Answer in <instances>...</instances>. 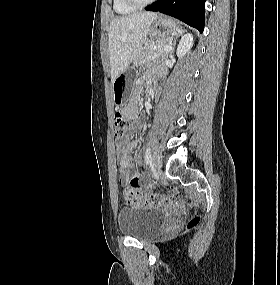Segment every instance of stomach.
Returning <instances> with one entry per match:
<instances>
[{
  "instance_id": "stomach-1",
  "label": "stomach",
  "mask_w": 280,
  "mask_h": 285,
  "mask_svg": "<svg viewBox=\"0 0 280 285\" xmlns=\"http://www.w3.org/2000/svg\"><path fill=\"white\" fill-rule=\"evenodd\" d=\"M178 30L176 23L166 17L156 18L150 27L149 35L150 40H157L161 38H169L171 34ZM130 73L127 71L122 72L113 82V96L116 105H126L131 97L130 93Z\"/></svg>"
}]
</instances>
